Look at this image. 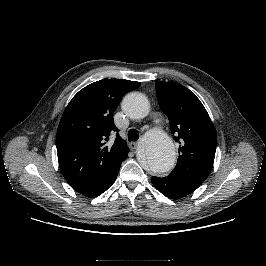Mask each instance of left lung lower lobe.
Here are the masks:
<instances>
[{
  "label": "left lung lower lobe",
  "mask_w": 266,
  "mask_h": 266,
  "mask_svg": "<svg viewBox=\"0 0 266 266\" xmlns=\"http://www.w3.org/2000/svg\"><path fill=\"white\" fill-rule=\"evenodd\" d=\"M152 183L161 193L172 199L182 198L200 186L170 174L163 178L153 176Z\"/></svg>",
  "instance_id": "0a47b994"
}]
</instances>
